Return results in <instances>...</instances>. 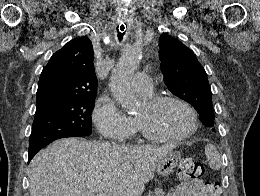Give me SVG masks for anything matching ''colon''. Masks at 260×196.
<instances>
[{
    "instance_id": "1",
    "label": "colon",
    "mask_w": 260,
    "mask_h": 196,
    "mask_svg": "<svg viewBox=\"0 0 260 196\" xmlns=\"http://www.w3.org/2000/svg\"><path fill=\"white\" fill-rule=\"evenodd\" d=\"M178 175L183 182L200 183L204 179V167L195 160L183 159L179 162Z\"/></svg>"
}]
</instances>
